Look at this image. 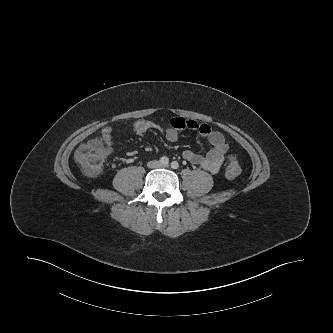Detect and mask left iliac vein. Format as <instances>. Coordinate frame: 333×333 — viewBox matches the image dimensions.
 Masks as SVG:
<instances>
[{
  "mask_svg": "<svg viewBox=\"0 0 333 333\" xmlns=\"http://www.w3.org/2000/svg\"><path fill=\"white\" fill-rule=\"evenodd\" d=\"M160 167H162V168H166V167H168V165H163V164H161Z\"/></svg>",
  "mask_w": 333,
  "mask_h": 333,
  "instance_id": "left-iliac-vein-1",
  "label": "left iliac vein"
}]
</instances>
